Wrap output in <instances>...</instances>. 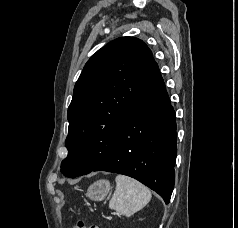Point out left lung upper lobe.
Returning a JSON list of instances; mask_svg holds the SVG:
<instances>
[{
  "label": "left lung upper lobe",
  "instance_id": "obj_1",
  "mask_svg": "<svg viewBox=\"0 0 238 228\" xmlns=\"http://www.w3.org/2000/svg\"><path fill=\"white\" fill-rule=\"evenodd\" d=\"M155 64L151 50L134 37L113 40L88 60L68 107L65 176L90 172L110 157Z\"/></svg>",
  "mask_w": 238,
  "mask_h": 228
}]
</instances>
